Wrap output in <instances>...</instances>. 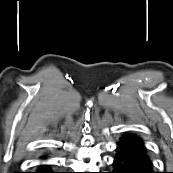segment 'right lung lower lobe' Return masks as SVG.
Listing matches in <instances>:
<instances>
[{"label":"right lung lower lobe","mask_w":173,"mask_h":173,"mask_svg":"<svg viewBox=\"0 0 173 173\" xmlns=\"http://www.w3.org/2000/svg\"><path fill=\"white\" fill-rule=\"evenodd\" d=\"M35 173H54V172L51 171L49 166L41 165L39 166L38 171Z\"/></svg>","instance_id":"98d812e1"}]
</instances>
